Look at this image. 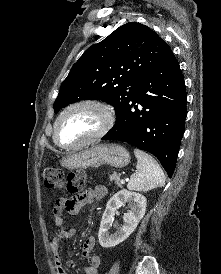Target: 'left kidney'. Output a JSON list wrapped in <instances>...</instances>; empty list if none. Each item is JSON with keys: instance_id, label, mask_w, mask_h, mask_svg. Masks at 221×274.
Instances as JSON below:
<instances>
[{"instance_id": "5707ae66", "label": "left kidney", "mask_w": 221, "mask_h": 274, "mask_svg": "<svg viewBox=\"0 0 221 274\" xmlns=\"http://www.w3.org/2000/svg\"><path fill=\"white\" fill-rule=\"evenodd\" d=\"M127 202L130 204L131 210L124 214V224L114 234L110 235L109 229L114 221V213ZM146 205V198L139 193L123 189L113 195L108 201L102 216L98 233L100 245L103 248H110L126 240L145 215Z\"/></svg>"}]
</instances>
